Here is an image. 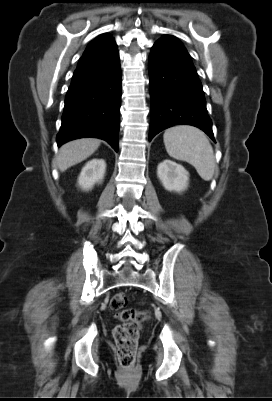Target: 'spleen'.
I'll return each mask as SVG.
<instances>
[{
    "label": "spleen",
    "instance_id": "obj_1",
    "mask_svg": "<svg viewBox=\"0 0 272 401\" xmlns=\"http://www.w3.org/2000/svg\"><path fill=\"white\" fill-rule=\"evenodd\" d=\"M167 153L174 159L186 161L196 169L199 176L210 181L215 170L213 148L206 135L191 126H176L163 135Z\"/></svg>",
    "mask_w": 272,
    "mask_h": 401
}]
</instances>
